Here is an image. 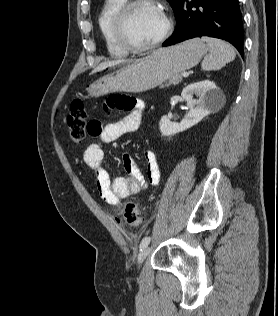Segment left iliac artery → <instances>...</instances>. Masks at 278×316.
Segmentation results:
<instances>
[{
    "label": "left iliac artery",
    "mask_w": 278,
    "mask_h": 316,
    "mask_svg": "<svg viewBox=\"0 0 278 316\" xmlns=\"http://www.w3.org/2000/svg\"><path fill=\"white\" fill-rule=\"evenodd\" d=\"M150 237L149 236H147V237H144L143 239H142V241H141V243H140V249L142 250V249H144L145 247H147V245L149 244V242H150Z\"/></svg>",
    "instance_id": "44dca946"
}]
</instances>
